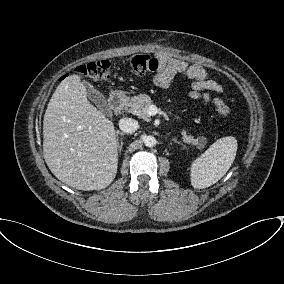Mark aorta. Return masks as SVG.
<instances>
[{
  "label": "aorta",
  "mask_w": 284,
  "mask_h": 284,
  "mask_svg": "<svg viewBox=\"0 0 284 284\" xmlns=\"http://www.w3.org/2000/svg\"><path fill=\"white\" fill-rule=\"evenodd\" d=\"M143 142H144V145L147 147H154L157 143L155 137L151 135L145 136Z\"/></svg>",
  "instance_id": "obj_1"
}]
</instances>
